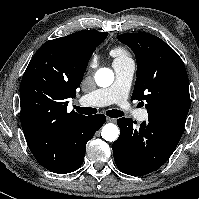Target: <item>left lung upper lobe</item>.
<instances>
[{"label": "left lung upper lobe", "mask_w": 199, "mask_h": 199, "mask_svg": "<svg viewBox=\"0 0 199 199\" xmlns=\"http://www.w3.org/2000/svg\"><path fill=\"white\" fill-rule=\"evenodd\" d=\"M118 40L136 55L137 78L131 99L145 101L148 117L183 128L190 107L189 80L179 55L149 33H125Z\"/></svg>", "instance_id": "1"}]
</instances>
